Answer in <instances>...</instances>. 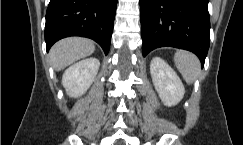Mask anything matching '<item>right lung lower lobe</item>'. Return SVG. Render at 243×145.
Segmentation results:
<instances>
[{
    "label": "right lung lower lobe",
    "mask_w": 243,
    "mask_h": 145,
    "mask_svg": "<svg viewBox=\"0 0 243 145\" xmlns=\"http://www.w3.org/2000/svg\"><path fill=\"white\" fill-rule=\"evenodd\" d=\"M117 0H50L46 12L47 51L68 36L88 37L103 48H110Z\"/></svg>",
    "instance_id": "obj_1"
}]
</instances>
